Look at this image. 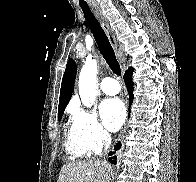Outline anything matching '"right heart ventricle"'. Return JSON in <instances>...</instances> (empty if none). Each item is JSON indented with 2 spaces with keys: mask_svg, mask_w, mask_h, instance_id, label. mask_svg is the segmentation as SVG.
I'll return each mask as SVG.
<instances>
[{
  "mask_svg": "<svg viewBox=\"0 0 196 182\" xmlns=\"http://www.w3.org/2000/svg\"><path fill=\"white\" fill-rule=\"evenodd\" d=\"M66 152L72 159H81L87 155V152L78 142L73 128L71 127L66 134Z\"/></svg>",
  "mask_w": 196,
  "mask_h": 182,
  "instance_id": "right-heart-ventricle-1",
  "label": "right heart ventricle"
}]
</instances>
